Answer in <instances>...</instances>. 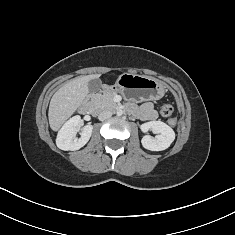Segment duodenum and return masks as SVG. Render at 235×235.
<instances>
[{"mask_svg": "<svg viewBox=\"0 0 235 235\" xmlns=\"http://www.w3.org/2000/svg\"><path fill=\"white\" fill-rule=\"evenodd\" d=\"M103 91H109L108 88H105ZM92 98L93 96H88L86 98V100L84 101V103L82 104L81 110L87 113H92L93 110V106H92Z\"/></svg>", "mask_w": 235, "mask_h": 235, "instance_id": "1", "label": "duodenum"}]
</instances>
